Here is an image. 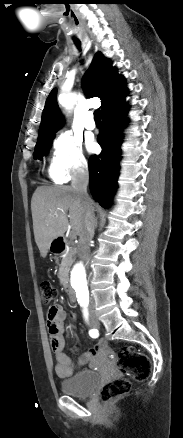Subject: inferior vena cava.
I'll return each instance as SVG.
<instances>
[{
    "instance_id": "inferior-vena-cava-1",
    "label": "inferior vena cava",
    "mask_w": 183,
    "mask_h": 438,
    "mask_svg": "<svg viewBox=\"0 0 183 438\" xmlns=\"http://www.w3.org/2000/svg\"><path fill=\"white\" fill-rule=\"evenodd\" d=\"M89 172L86 165H81L75 169L72 177V188L77 192L79 198L83 201L85 207L84 227L79 235L78 257L87 264L90 257L89 244L94 236L96 226L95 215L90 204V198L87 193ZM94 307L93 299H90L89 308Z\"/></svg>"
}]
</instances>
